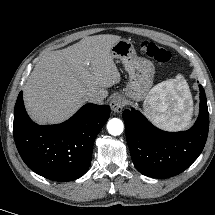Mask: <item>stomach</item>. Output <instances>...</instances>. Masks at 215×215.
Returning a JSON list of instances; mask_svg holds the SVG:
<instances>
[{
	"label": "stomach",
	"instance_id": "stomach-1",
	"mask_svg": "<svg viewBox=\"0 0 215 215\" xmlns=\"http://www.w3.org/2000/svg\"><path fill=\"white\" fill-rule=\"evenodd\" d=\"M113 58L120 59L129 75V82L124 89V95L135 102L149 96L153 84L155 68L151 61L138 57L133 44L120 39L111 48Z\"/></svg>",
	"mask_w": 215,
	"mask_h": 215
}]
</instances>
